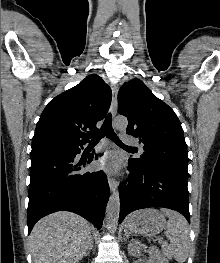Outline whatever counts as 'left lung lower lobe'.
I'll return each instance as SVG.
<instances>
[{
	"label": "left lung lower lobe",
	"instance_id": "0a47b994",
	"mask_svg": "<svg viewBox=\"0 0 220 263\" xmlns=\"http://www.w3.org/2000/svg\"><path fill=\"white\" fill-rule=\"evenodd\" d=\"M128 169V185L119 186L120 223L130 212L149 207L175 210L190 223L188 176L166 166H139L133 159Z\"/></svg>",
	"mask_w": 220,
	"mask_h": 263
}]
</instances>
